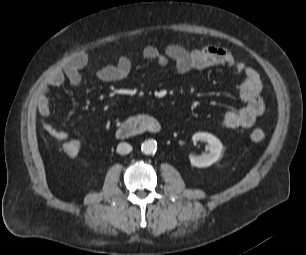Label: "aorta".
<instances>
[{
  "instance_id": "aorta-1",
  "label": "aorta",
  "mask_w": 306,
  "mask_h": 255,
  "mask_svg": "<svg viewBox=\"0 0 306 255\" xmlns=\"http://www.w3.org/2000/svg\"><path fill=\"white\" fill-rule=\"evenodd\" d=\"M141 150L146 155L154 154L157 150V143L154 140H147L142 143Z\"/></svg>"
}]
</instances>
